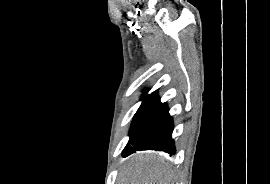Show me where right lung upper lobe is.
Returning <instances> with one entry per match:
<instances>
[{
	"instance_id": "obj_1",
	"label": "right lung upper lobe",
	"mask_w": 270,
	"mask_h": 184,
	"mask_svg": "<svg viewBox=\"0 0 270 184\" xmlns=\"http://www.w3.org/2000/svg\"><path fill=\"white\" fill-rule=\"evenodd\" d=\"M146 92H147V91H146ZM156 93H157V91H155V92H153L152 94L147 95V96H146V94H145L144 96H146V98H151L152 96L156 95Z\"/></svg>"
}]
</instances>
